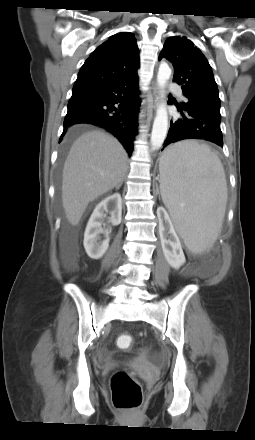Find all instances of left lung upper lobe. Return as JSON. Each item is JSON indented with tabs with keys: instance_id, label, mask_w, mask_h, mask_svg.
<instances>
[{
	"instance_id": "left-lung-upper-lobe-1",
	"label": "left lung upper lobe",
	"mask_w": 255,
	"mask_h": 440,
	"mask_svg": "<svg viewBox=\"0 0 255 440\" xmlns=\"http://www.w3.org/2000/svg\"><path fill=\"white\" fill-rule=\"evenodd\" d=\"M174 66V81L188 98L181 106L220 114V99L214 75L206 57L186 37H169L159 55Z\"/></svg>"
}]
</instances>
